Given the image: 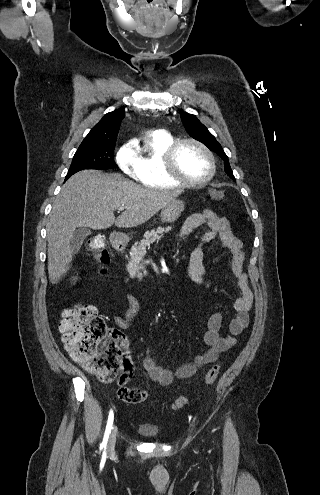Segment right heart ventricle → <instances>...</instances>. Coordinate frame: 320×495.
<instances>
[{"label": "right heart ventricle", "instance_id": "e07e8e85", "mask_svg": "<svg viewBox=\"0 0 320 495\" xmlns=\"http://www.w3.org/2000/svg\"><path fill=\"white\" fill-rule=\"evenodd\" d=\"M175 142L167 133H149L139 155V181L149 188L169 189L182 186L165 171L163 156L166 149Z\"/></svg>", "mask_w": 320, "mask_h": 495}]
</instances>
